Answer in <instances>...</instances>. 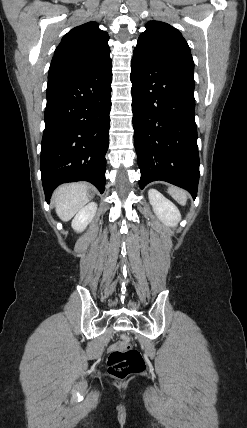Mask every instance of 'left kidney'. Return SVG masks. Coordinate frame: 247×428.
I'll return each mask as SVG.
<instances>
[{"label":"left kidney","instance_id":"5707ae66","mask_svg":"<svg viewBox=\"0 0 247 428\" xmlns=\"http://www.w3.org/2000/svg\"><path fill=\"white\" fill-rule=\"evenodd\" d=\"M148 197L157 217L169 227H176L181 219L178 208L156 189H149Z\"/></svg>","mask_w":247,"mask_h":428}]
</instances>
